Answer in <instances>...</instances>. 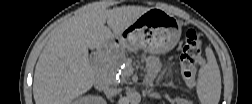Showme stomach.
Returning a JSON list of instances; mask_svg holds the SVG:
<instances>
[{"instance_id": "0dacf381", "label": "stomach", "mask_w": 252, "mask_h": 104, "mask_svg": "<svg viewBox=\"0 0 252 104\" xmlns=\"http://www.w3.org/2000/svg\"><path fill=\"white\" fill-rule=\"evenodd\" d=\"M180 36L181 23L178 19L162 9L151 8L101 50L115 55L138 49L161 54L172 50Z\"/></svg>"}]
</instances>
